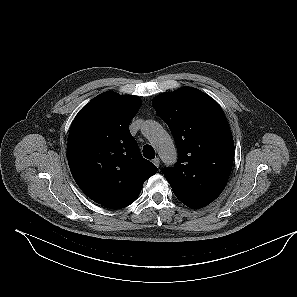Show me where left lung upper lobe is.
I'll return each mask as SVG.
<instances>
[{
	"label": "left lung upper lobe",
	"instance_id": "left-lung-upper-lobe-1",
	"mask_svg": "<svg viewBox=\"0 0 297 297\" xmlns=\"http://www.w3.org/2000/svg\"><path fill=\"white\" fill-rule=\"evenodd\" d=\"M152 105L178 149V162L164 170L165 178L183 204L205 207L224 190L234 159V141L222 108L191 87L160 94Z\"/></svg>",
	"mask_w": 297,
	"mask_h": 297
}]
</instances>
